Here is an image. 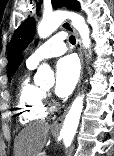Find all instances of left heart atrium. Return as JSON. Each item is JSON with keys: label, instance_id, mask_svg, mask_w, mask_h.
Returning a JSON list of instances; mask_svg holds the SVG:
<instances>
[{"label": "left heart atrium", "instance_id": "1", "mask_svg": "<svg viewBox=\"0 0 114 156\" xmlns=\"http://www.w3.org/2000/svg\"><path fill=\"white\" fill-rule=\"evenodd\" d=\"M79 73L80 66L75 56L61 58L56 66V95L62 98L69 96L76 86Z\"/></svg>", "mask_w": 114, "mask_h": 156}]
</instances>
